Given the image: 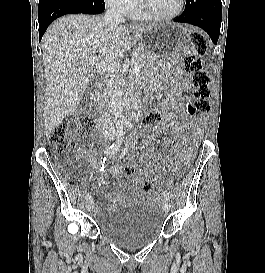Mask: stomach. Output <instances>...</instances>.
Returning <instances> with one entry per match:
<instances>
[{"label": "stomach", "mask_w": 265, "mask_h": 273, "mask_svg": "<svg viewBox=\"0 0 265 273\" xmlns=\"http://www.w3.org/2000/svg\"><path fill=\"white\" fill-rule=\"evenodd\" d=\"M186 30H192V25H155L145 28L135 35L137 44H129V49H144L141 55H136L139 64H149V69H154V64H173L178 40H183Z\"/></svg>", "instance_id": "1"}]
</instances>
